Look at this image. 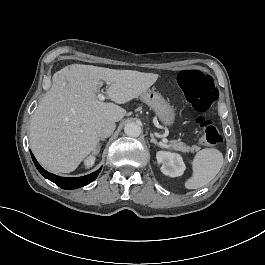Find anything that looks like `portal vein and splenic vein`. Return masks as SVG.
Instances as JSON below:
<instances>
[{"label":"portal vein and splenic vein","instance_id":"obj_1","mask_svg":"<svg viewBox=\"0 0 265 265\" xmlns=\"http://www.w3.org/2000/svg\"><path fill=\"white\" fill-rule=\"evenodd\" d=\"M97 97H98V99L101 100V101H104V100H105V96H104L103 94H98ZM162 142H163V143H167L168 140L165 139V138H163V139H162Z\"/></svg>","mask_w":265,"mask_h":265}]
</instances>
